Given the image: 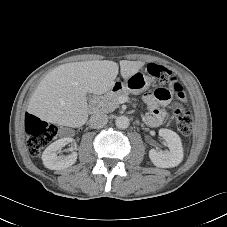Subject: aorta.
<instances>
[{"label": "aorta", "instance_id": "762f6f07", "mask_svg": "<svg viewBox=\"0 0 227 227\" xmlns=\"http://www.w3.org/2000/svg\"><path fill=\"white\" fill-rule=\"evenodd\" d=\"M130 124L129 118L126 116H119L115 120V125L119 129H126Z\"/></svg>", "mask_w": 227, "mask_h": 227}]
</instances>
